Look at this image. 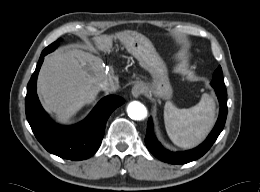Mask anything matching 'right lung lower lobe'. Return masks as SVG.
<instances>
[{
	"mask_svg": "<svg viewBox=\"0 0 260 192\" xmlns=\"http://www.w3.org/2000/svg\"><path fill=\"white\" fill-rule=\"evenodd\" d=\"M46 54L48 53L42 52L28 83L25 99L27 120L34 135L48 152L70 160L87 159L98 150L110 114L125 100L119 96H106L82 122L73 126L54 125L43 110L36 93L37 76Z\"/></svg>",
	"mask_w": 260,
	"mask_h": 192,
	"instance_id": "obj_1",
	"label": "right lung lower lobe"
}]
</instances>
